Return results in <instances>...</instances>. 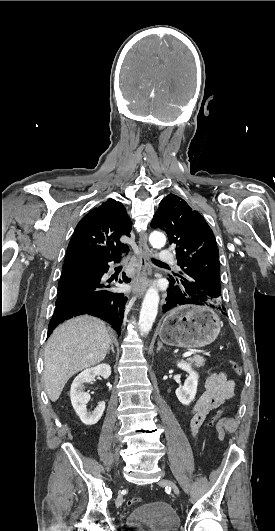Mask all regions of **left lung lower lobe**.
I'll list each match as a JSON object with an SVG mask.
<instances>
[{
  "label": "left lung lower lobe",
  "instance_id": "obj_1",
  "mask_svg": "<svg viewBox=\"0 0 275 531\" xmlns=\"http://www.w3.org/2000/svg\"><path fill=\"white\" fill-rule=\"evenodd\" d=\"M178 305H182L180 303H177L175 300H173L170 295H168V297L166 298V303L163 305V312H167L169 311L170 309L178 306ZM225 310V309H224ZM226 311V310H225Z\"/></svg>",
  "mask_w": 275,
  "mask_h": 531
}]
</instances>
